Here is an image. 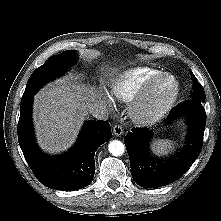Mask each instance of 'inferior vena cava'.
Returning <instances> with one entry per match:
<instances>
[{
	"mask_svg": "<svg viewBox=\"0 0 221 221\" xmlns=\"http://www.w3.org/2000/svg\"><path fill=\"white\" fill-rule=\"evenodd\" d=\"M90 114L99 120H107L109 117V112L105 104L95 103L89 107Z\"/></svg>",
	"mask_w": 221,
	"mask_h": 221,
	"instance_id": "obj_1",
	"label": "inferior vena cava"
}]
</instances>
